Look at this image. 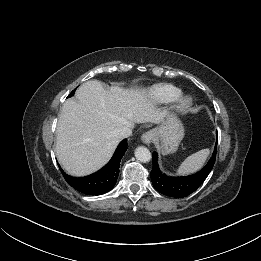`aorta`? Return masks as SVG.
I'll use <instances>...</instances> for the list:
<instances>
[{
	"instance_id": "762f6f07",
	"label": "aorta",
	"mask_w": 261,
	"mask_h": 261,
	"mask_svg": "<svg viewBox=\"0 0 261 261\" xmlns=\"http://www.w3.org/2000/svg\"><path fill=\"white\" fill-rule=\"evenodd\" d=\"M135 157L138 161L146 163L151 160V153L146 147H138L135 150Z\"/></svg>"
}]
</instances>
